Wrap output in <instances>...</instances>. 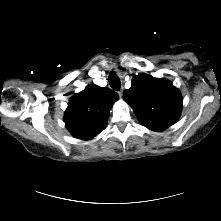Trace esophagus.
<instances>
[{"label": "esophagus", "instance_id": "1", "mask_svg": "<svg viewBox=\"0 0 221 221\" xmlns=\"http://www.w3.org/2000/svg\"><path fill=\"white\" fill-rule=\"evenodd\" d=\"M122 89H123V88H122ZM122 89L118 92V94H119L120 97H122V94H123Z\"/></svg>", "mask_w": 221, "mask_h": 221}]
</instances>
